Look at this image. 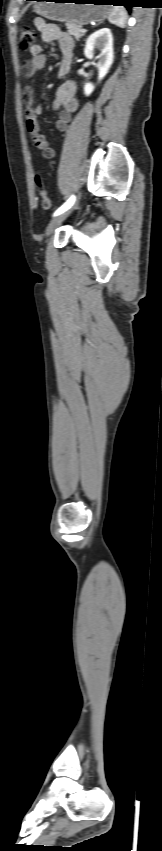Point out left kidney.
<instances>
[{
    "instance_id": "1",
    "label": "left kidney",
    "mask_w": 162,
    "mask_h": 851,
    "mask_svg": "<svg viewBox=\"0 0 162 851\" xmlns=\"http://www.w3.org/2000/svg\"><path fill=\"white\" fill-rule=\"evenodd\" d=\"M95 49L100 51V54L95 57V59H98L97 70L98 80L100 81L108 73L114 58L113 37L110 29L102 28L87 38L84 48L86 58L93 59ZM94 88L95 86L92 83H86L84 85V94L89 96L94 91Z\"/></svg>"
}]
</instances>
